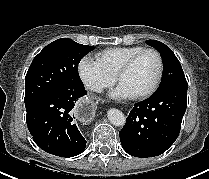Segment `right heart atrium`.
Returning <instances> with one entry per match:
<instances>
[{"label":"right heart atrium","instance_id":"obj_1","mask_svg":"<svg viewBox=\"0 0 209 179\" xmlns=\"http://www.w3.org/2000/svg\"><path fill=\"white\" fill-rule=\"evenodd\" d=\"M79 75L85 86L94 92H100L113 83V77L108 75L92 58L84 57L78 64Z\"/></svg>","mask_w":209,"mask_h":179}]
</instances>
